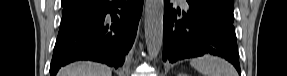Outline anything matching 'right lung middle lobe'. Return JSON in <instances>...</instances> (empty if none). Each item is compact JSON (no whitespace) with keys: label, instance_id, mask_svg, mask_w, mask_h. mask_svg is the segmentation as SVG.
<instances>
[{"label":"right lung middle lobe","instance_id":"right-lung-middle-lobe-1","mask_svg":"<svg viewBox=\"0 0 287 76\" xmlns=\"http://www.w3.org/2000/svg\"><path fill=\"white\" fill-rule=\"evenodd\" d=\"M87 0H66L62 1L63 11L62 14L66 15L85 4Z\"/></svg>","mask_w":287,"mask_h":76}]
</instances>
